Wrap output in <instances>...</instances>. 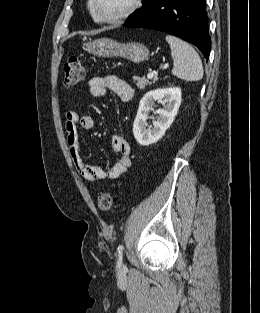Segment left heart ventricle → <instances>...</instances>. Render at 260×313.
I'll use <instances>...</instances> for the list:
<instances>
[{
    "label": "left heart ventricle",
    "mask_w": 260,
    "mask_h": 313,
    "mask_svg": "<svg viewBox=\"0 0 260 313\" xmlns=\"http://www.w3.org/2000/svg\"><path fill=\"white\" fill-rule=\"evenodd\" d=\"M132 0H97V9L102 16L114 17L125 11Z\"/></svg>",
    "instance_id": "obj_1"
}]
</instances>
